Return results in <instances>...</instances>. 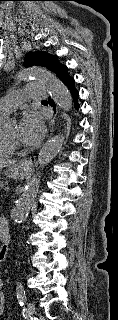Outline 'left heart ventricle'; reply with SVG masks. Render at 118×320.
I'll list each match as a JSON object with an SVG mask.
<instances>
[{"label": "left heart ventricle", "instance_id": "obj_1", "mask_svg": "<svg viewBox=\"0 0 118 320\" xmlns=\"http://www.w3.org/2000/svg\"><path fill=\"white\" fill-rule=\"evenodd\" d=\"M4 134L17 143H21L19 138V129L17 124H10L5 127Z\"/></svg>", "mask_w": 118, "mask_h": 320}]
</instances>
